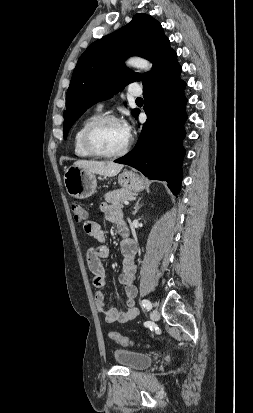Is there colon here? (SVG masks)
I'll list each match as a JSON object with an SVG mask.
<instances>
[{
  "label": "colon",
  "instance_id": "obj_1",
  "mask_svg": "<svg viewBox=\"0 0 253 413\" xmlns=\"http://www.w3.org/2000/svg\"><path fill=\"white\" fill-rule=\"evenodd\" d=\"M70 209H71V213H72L74 219L77 222H82L85 219V217H86L85 210L79 203L72 202L71 205H70ZM109 337H110L111 340H113V341H115V342H117L121 345H124V346L139 345L138 343H135L133 340L129 339L128 337H125V336L121 335L118 332H111L109 334Z\"/></svg>",
  "mask_w": 253,
  "mask_h": 413
}]
</instances>
